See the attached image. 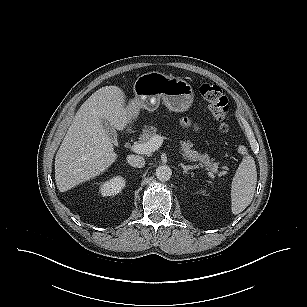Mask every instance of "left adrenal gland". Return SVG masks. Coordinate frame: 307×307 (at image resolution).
<instances>
[{"label":"left adrenal gland","mask_w":307,"mask_h":307,"mask_svg":"<svg viewBox=\"0 0 307 307\" xmlns=\"http://www.w3.org/2000/svg\"><path fill=\"white\" fill-rule=\"evenodd\" d=\"M180 166L183 168V173L184 174H188V171L189 170H193V169H195L196 167H195V165L194 166H191V165H184V164H180Z\"/></svg>","instance_id":"left-adrenal-gland-1"}]
</instances>
